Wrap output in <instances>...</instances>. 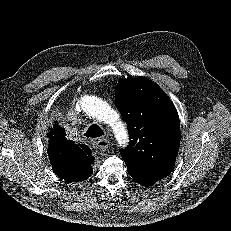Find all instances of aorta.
I'll return each mask as SVG.
<instances>
[{
  "instance_id": "1",
  "label": "aorta",
  "mask_w": 231,
  "mask_h": 231,
  "mask_svg": "<svg viewBox=\"0 0 231 231\" xmlns=\"http://www.w3.org/2000/svg\"><path fill=\"white\" fill-rule=\"evenodd\" d=\"M78 107L88 116L108 124L118 144H127L128 132L124 123L118 119L117 113L105 101L93 95H84L78 100Z\"/></svg>"
}]
</instances>
